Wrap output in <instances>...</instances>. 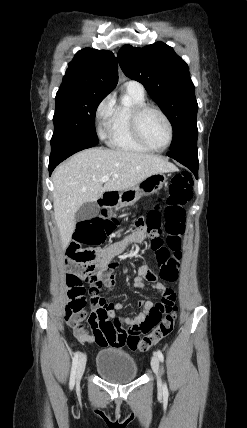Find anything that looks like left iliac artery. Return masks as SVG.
<instances>
[{
    "mask_svg": "<svg viewBox=\"0 0 247 428\" xmlns=\"http://www.w3.org/2000/svg\"><path fill=\"white\" fill-rule=\"evenodd\" d=\"M156 355L158 356V358L161 362L164 361V356H163V353L161 352V350H157ZM163 392H164V394H168V389H167L166 384L163 385Z\"/></svg>",
    "mask_w": 247,
    "mask_h": 428,
    "instance_id": "obj_1",
    "label": "left iliac artery"
}]
</instances>
